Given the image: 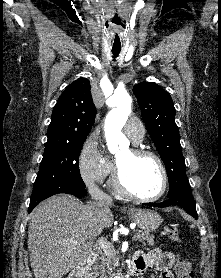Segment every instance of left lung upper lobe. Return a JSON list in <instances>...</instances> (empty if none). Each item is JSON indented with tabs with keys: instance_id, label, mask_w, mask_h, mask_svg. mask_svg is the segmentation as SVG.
Listing matches in <instances>:
<instances>
[{
	"instance_id": "obj_1",
	"label": "left lung upper lobe",
	"mask_w": 221,
	"mask_h": 278,
	"mask_svg": "<svg viewBox=\"0 0 221 278\" xmlns=\"http://www.w3.org/2000/svg\"><path fill=\"white\" fill-rule=\"evenodd\" d=\"M141 110L142 119L160 154L169 178L171 197L179 189L190 187L182 155L179 130L175 123V108L167 91L154 82L133 87Z\"/></svg>"
}]
</instances>
